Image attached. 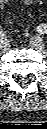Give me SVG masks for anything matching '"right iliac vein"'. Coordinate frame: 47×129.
<instances>
[{
	"label": "right iliac vein",
	"instance_id": "obj_1",
	"mask_svg": "<svg viewBox=\"0 0 47 129\" xmlns=\"http://www.w3.org/2000/svg\"><path fill=\"white\" fill-rule=\"evenodd\" d=\"M10 47H11V45L8 41H5V42L1 43V45H0V49L2 51H8L10 49Z\"/></svg>",
	"mask_w": 47,
	"mask_h": 129
}]
</instances>
